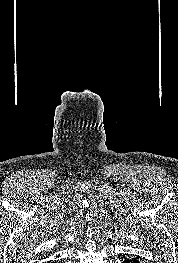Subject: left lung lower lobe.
I'll return each instance as SVG.
<instances>
[{"instance_id": "obj_1", "label": "left lung lower lobe", "mask_w": 178, "mask_h": 263, "mask_svg": "<svg viewBox=\"0 0 178 263\" xmlns=\"http://www.w3.org/2000/svg\"><path fill=\"white\" fill-rule=\"evenodd\" d=\"M123 263H138V260H136V259H128V260L123 261Z\"/></svg>"}]
</instances>
